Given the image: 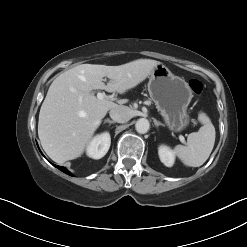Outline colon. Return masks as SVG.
Instances as JSON below:
<instances>
[{
  "label": "colon",
  "instance_id": "colon-1",
  "mask_svg": "<svg viewBox=\"0 0 247 247\" xmlns=\"http://www.w3.org/2000/svg\"><path fill=\"white\" fill-rule=\"evenodd\" d=\"M189 86L195 94H200L203 90V85L199 80H195V79L191 80L189 82Z\"/></svg>",
  "mask_w": 247,
  "mask_h": 247
}]
</instances>
